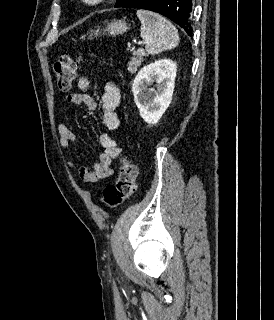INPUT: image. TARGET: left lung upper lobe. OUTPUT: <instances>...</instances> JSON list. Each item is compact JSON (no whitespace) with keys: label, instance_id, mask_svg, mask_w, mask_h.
<instances>
[{"label":"left lung upper lobe","instance_id":"1","mask_svg":"<svg viewBox=\"0 0 274 320\" xmlns=\"http://www.w3.org/2000/svg\"><path fill=\"white\" fill-rule=\"evenodd\" d=\"M128 0H118L117 3L115 4V7H121L124 5Z\"/></svg>","mask_w":274,"mask_h":320}]
</instances>
